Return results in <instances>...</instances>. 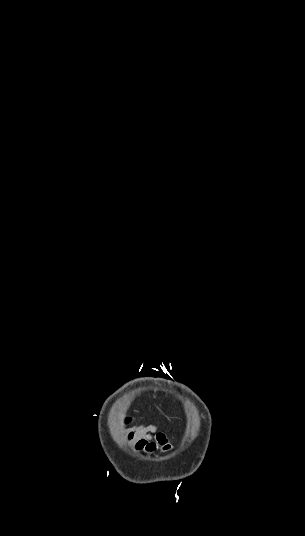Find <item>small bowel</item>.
Wrapping results in <instances>:
<instances>
[{
	"label": "small bowel",
	"mask_w": 305,
	"mask_h": 536,
	"mask_svg": "<svg viewBox=\"0 0 305 536\" xmlns=\"http://www.w3.org/2000/svg\"><path fill=\"white\" fill-rule=\"evenodd\" d=\"M124 438L134 450L145 454L169 452L173 448L160 427H131L124 432Z\"/></svg>",
	"instance_id": "small-bowel-1"
}]
</instances>
